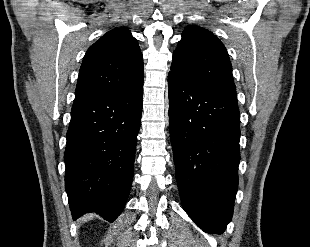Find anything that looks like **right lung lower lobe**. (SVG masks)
Here are the masks:
<instances>
[{
    "label": "right lung lower lobe",
    "instance_id": "right-lung-lower-lobe-1",
    "mask_svg": "<svg viewBox=\"0 0 310 247\" xmlns=\"http://www.w3.org/2000/svg\"><path fill=\"white\" fill-rule=\"evenodd\" d=\"M142 86L75 98L64 154L74 220L95 211L113 222L122 212L133 179Z\"/></svg>",
    "mask_w": 310,
    "mask_h": 247
}]
</instances>
